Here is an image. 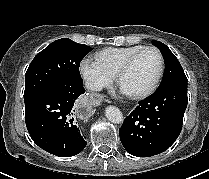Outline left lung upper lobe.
I'll return each instance as SVG.
<instances>
[{
  "label": "left lung upper lobe",
  "instance_id": "1",
  "mask_svg": "<svg viewBox=\"0 0 209 179\" xmlns=\"http://www.w3.org/2000/svg\"><path fill=\"white\" fill-rule=\"evenodd\" d=\"M152 43L160 49L166 64L164 77L157 90L166 88L179 82H187V78L182 66L180 65L175 55L170 51V49L159 41L153 40Z\"/></svg>",
  "mask_w": 209,
  "mask_h": 179
}]
</instances>
